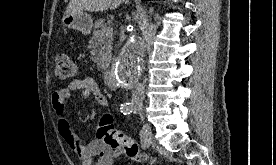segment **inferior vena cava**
I'll return each mask as SVG.
<instances>
[{
  "label": "inferior vena cava",
  "mask_w": 276,
  "mask_h": 165,
  "mask_svg": "<svg viewBox=\"0 0 276 165\" xmlns=\"http://www.w3.org/2000/svg\"><path fill=\"white\" fill-rule=\"evenodd\" d=\"M132 90V101L142 103L144 100V86L142 83H139L137 80L134 81V84L131 87Z\"/></svg>",
  "instance_id": "602c4592"
}]
</instances>
